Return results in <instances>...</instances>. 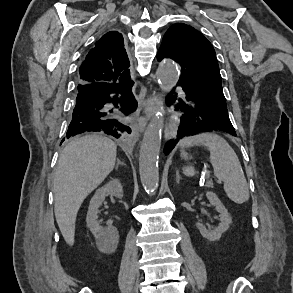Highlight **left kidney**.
<instances>
[{
  "mask_svg": "<svg viewBox=\"0 0 293 293\" xmlns=\"http://www.w3.org/2000/svg\"><path fill=\"white\" fill-rule=\"evenodd\" d=\"M206 197L209 200L210 204L216 208V210L220 213V223L219 226L216 227L214 230L207 229L203 224L196 223V227L200 231L201 235L208 239L209 241H218L222 234L228 230L232 218L229 215L227 209L222 204L218 196L211 191L206 192Z\"/></svg>",
  "mask_w": 293,
  "mask_h": 293,
  "instance_id": "left-kidney-1",
  "label": "left kidney"
}]
</instances>
